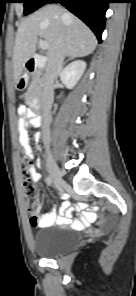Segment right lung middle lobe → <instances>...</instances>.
I'll use <instances>...</instances> for the list:
<instances>
[{
    "label": "right lung middle lobe",
    "instance_id": "obj_1",
    "mask_svg": "<svg viewBox=\"0 0 136 296\" xmlns=\"http://www.w3.org/2000/svg\"><path fill=\"white\" fill-rule=\"evenodd\" d=\"M47 0H19L20 3H24V13L30 14L46 4Z\"/></svg>",
    "mask_w": 136,
    "mask_h": 296
}]
</instances>
